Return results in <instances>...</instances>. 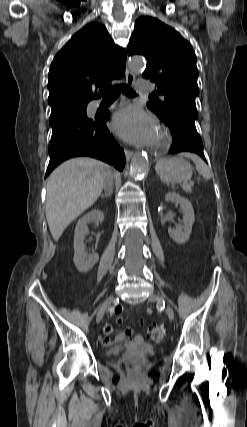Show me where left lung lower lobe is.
Instances as JSON below:
<instances>
[{"label":"left lung lower lobe","mask_w":247,"mask_h":427,"mask_svg":"<svg viewBox=\"0 0 247 427\" xmlns=\"http://www.w3.org/2000/svg\"><path fill=\"white\" fill-rule=\"evenodd\" d=\"M165 124L170 127L175 142L169 153L192 152L206 161L203 152V143L195 127V120L184 116H174Z\"/></svg>","instance_id":"1"}]
</instances>
